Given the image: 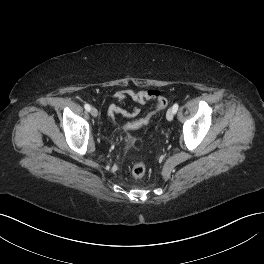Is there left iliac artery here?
Masks as SVG:
<instances>
[{
	"instance_id": "1",
	"label": "left iliac artery",
	"mask_w": 264,
	"mask_h": 264,
	"mask_svg": "<svg viewBox=\"0 0 264 264\" xmlns=\"http://www.w3.org/2000/svg\"><path fill=\"white\" fill-rule=\"evenodd\" d=\"M178 104L177 103H175L174 105H173V107H172V109H173V111H174V113H176L177 112V110H178Z\"/></svg>"
}]
</instances>
